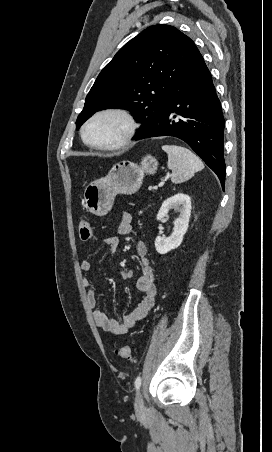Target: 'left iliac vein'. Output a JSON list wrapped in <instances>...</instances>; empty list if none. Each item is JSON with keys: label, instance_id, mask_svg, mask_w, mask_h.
Listing matches in <instances>:
<instances>
[{"label": "left iliac vein", "instance_id": "obj_1", "mask_svg": "<svg viewBox=\"0 0 272 452\" xmlns=\"http://www.w3.org/2000/svg\"><path fill=\"white\" fill-rule=\"evenodd\" d=\"M145 407H144V402H143V398L140 394V392L137 393L136 398H135V411L137 414H142L144 413Z\"/></svg>", "mask_w": 272, "mask_h": 452}]
</instances>
